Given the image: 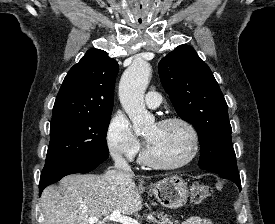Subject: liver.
Segmentation results:
<instances>
[{
	"label": "liver",
	"mask_w": 275,
	"mask_h": 224,
	"mask_svg": "<svg viewBox=\"0 0 275 224\" xmlns=\"http://www.w3.org/2000/svg\"><path fill=\"white\" fill-rule=\"evenodd\" d=\"M60 188L46 187L40 198L44 224H89L91 217H102L118 210L132 215L141 210L143 181L137 186L132 176L120 170L103 175L72 174L60 181Z\"/></svg>",
	"instance_id": "liver-1"
}]
</instances>
